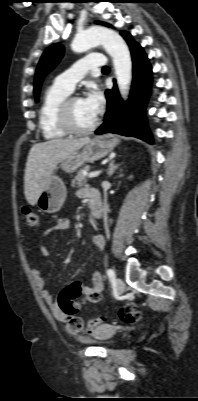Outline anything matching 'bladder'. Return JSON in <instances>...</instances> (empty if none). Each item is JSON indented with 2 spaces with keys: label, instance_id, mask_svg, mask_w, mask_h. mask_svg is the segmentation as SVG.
I'll use <instances>...</instances> for the list:
<instances>
[{
  "label": "bladder",
  "instance_id": "31cf9c89",
  "mask_svg": "<svg viewBox=\"0 0 198 401\" xmlns=\"http://www.w3.org/2000/svg\"><path fill=\"white\" fill-rule=\"evenodd\" d=\"M118 332V328L114 326H105L102 327L97 334H95V339L89 340L88 343H96L98 341L106 342L112 336H114Z\"/></svg>",
  "mask_w": 198,
  "mask_h": 401
}]
</instances>
